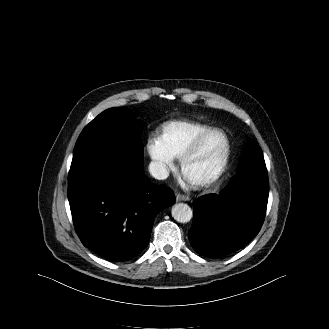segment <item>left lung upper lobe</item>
I'll use <instances>...</instances> for the list:
<instances>
[{"label":"left lung upper lobe","mask_w":329,"mask_h":329,"mask_svg":"<svg viewBox=\"0 0 329 329\" xmlns=\"http://www.w3.org/2000/svg\"><path fill=\"white\" fill-rule=\"evenodd\" d=\"M262 166L266 168L262 150L258 145L253 144L244 153L239 172H242L246 168L256 169Z\"/></svg>","instance_id":"5c2ea615"}]
</instances>
